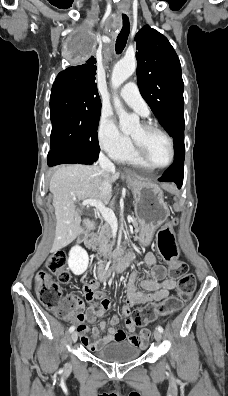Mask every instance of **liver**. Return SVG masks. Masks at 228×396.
<instances>
[{
    "label": "liver",
    "instance_id": "liver-1",
    "mask_svg": "<svg viewBox=\"0 0 228 396\" xmlns=\"http://www.w3.org/2000/svg\"><path fill=\"white\" fill-rule=\"evenodd\" d=\"M105 172L100 166L68 165L59 168L51 177L49 190L53 194V206L56 216L55 239L52 252L67 246L85 230L94 229L89 219L82 220L76 204L88 199L99 200L107 204L112 196L101 191ZM119 178L115 171L109 173L110 184Z\"/></svg>",
    "mask_w": 228,
    "mask_h": 396
}]
</instances>
